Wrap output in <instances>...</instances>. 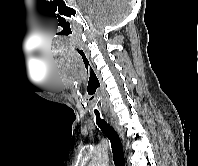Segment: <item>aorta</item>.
Wrapping results in <instances>:
<instances>
[{"instance_id": "762f6f07", "label": "aorta", "mask_w": 198, "mask_h": 166, "mask_svg": "<svg viewBox=\"0 0 198 166\" xmlns=\"http://www.w3.org/2000/svg\"><path fill=\"white\" fill-rule=\"evenodd\" d=\"M108 163V157L100 154L92 160L89 166H108Z\"/></svg>"}]
</instances>
